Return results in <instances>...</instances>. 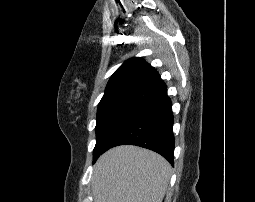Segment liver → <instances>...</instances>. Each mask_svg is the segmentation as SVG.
Instances as JSON below:
<instances>
[{
  "mask_svg": "<svg viewBox=\"0 0 255 202\" xmlns=\"http://www.w3.org/2000/svg\"><path fill=\"white\" fill-rule=\"evenodd\" d=\"M171 165L159 154L132 145L105 152L92 174L94 202H162Z\"/></svg>",
  "mask_w": 255,
  "mask_h": 202,
  "instance_id": "liver-1",
  "label": "liver"
}]
</instances>
